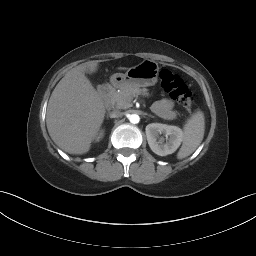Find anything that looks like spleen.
Listing matches in <instances>:
<instances>
[{
  "mask_svg": "<svg viewBox=\"0 0 256 256\" xmlns=\"http://www.w3.org/2000/svg\"><path fill=\"white\" fill-rule=\"evenodd\" d=\"M205 131V118L201 111L195 112L184 126L183 144L177 154L183 159L192 154L203 140Z\"/></svg>",
  "mask_w": 256,
  "mask_h": 256,
  "instance_id": "3e777b00",
  "label": "spleen"
}]
</instances>
